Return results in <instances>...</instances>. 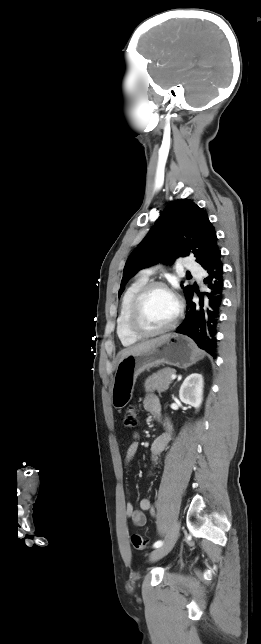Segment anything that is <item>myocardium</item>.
I'll use <instances>...</instances> for the list:
<instances>
[{"mask_svg":"<svg viewBox=\"0 0 261 644\" xmlns=\"http://www.w3.org/2000/svg\"><path fill=\"white\" fill-rule=\"evenodd\" d=\"M157 288L166 290L175 297L177 301V311L173 320L165 327L156 329V330H146L140 324V312H141L142 303L146 298V296L152 290ZM182 311H183V307L181 302L178 300V298L175 296L173 291L166 283L162 281H148L139 289V291L136 293V295L132 300L130 310H129V315H128V321H127L128 329L135 337L139 339L158 336L173 330L177 326L180 320V317L182 315Z\"/></svg>","mask_w":261,"mask_h":644,"instance_id":"myocardium-1","label":"myocardium"}]
</instances>
